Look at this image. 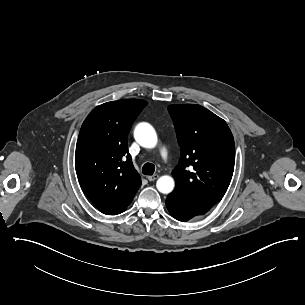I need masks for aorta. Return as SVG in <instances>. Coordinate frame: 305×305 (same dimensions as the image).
Returning a JSON list of instances; mask_svg holds the SVG:
<instances>
[{"label":"aorta","mask_w":305,"mask_h":305,"mask_svg":"<svg viewBox=\"0 0 305 305\" xmlns=\"http://www.w3.org/2000/svg\"><path fill=\"white\" fill-rule=\"evenodd\" d=\"M134 138L144 148H154L157 144V134L154 128L148 123H140L136 126ZM174 186V179L168 175L161 176L156 182L158 191L163 194L171 193Z\"/></svg>","instance_id":"aorta-1"}]
</instances>
